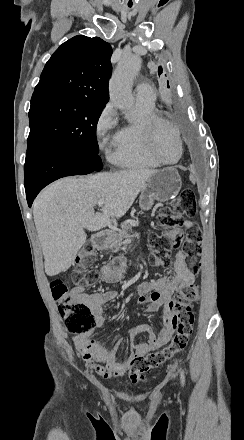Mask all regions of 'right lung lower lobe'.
<instances>
[{
    "mask_svg": "<svg viewBox=\"0 0 244 440\" xmlns=\"http://www.w3.org/2000/svg\"><path fill=\"white\" fill-rule=\"evenodd\" d=\"M24 185L28 206L49 183L66 176L85 175L102 169L98 155H84L50 143L27 145Z\"/></svg>",
    "mask_w": 244,
    "mask_h": 440,
    "instance_id": "right-lung-lower-lobe-1",
    "label": "right lung lower lobe"
}]
</instances>
